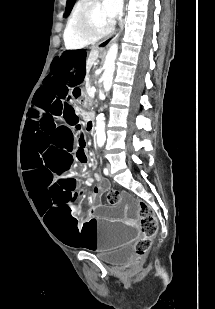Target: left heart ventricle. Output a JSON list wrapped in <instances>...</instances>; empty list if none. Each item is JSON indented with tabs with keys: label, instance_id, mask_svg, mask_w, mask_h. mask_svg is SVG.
I'll return each instance as SVG.
<instances>
[{
	"label": "left heart ventricle",
	"instance_id": "1",
	"mask_svg": "<svg viewBox=\"0 0 215 309\" xmlns=\"http://www.w3.org/2000/svg\"><path fill=\"white\" fill-rule=\"evenodd\" d=\"M85 13H91L92 20H88V22L92 23L94 29H101L102 25H106L105 10L93 9Z\"/></svg>",
	"mask_w": 215,
	"mask_h": 309
}]
</instances>
